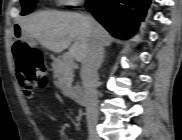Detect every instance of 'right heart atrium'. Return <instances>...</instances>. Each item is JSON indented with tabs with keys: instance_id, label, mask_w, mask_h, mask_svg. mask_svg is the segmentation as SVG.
I'll return each mask as SVG.
<instances>
[{
	"instance_id": "1",
	"label": "right heart atrium",
	"mask_w": 182,
	"mask_h": 140,
	"mask_svg": "<svg viewBox=\"0 0 182 140\" xmlns=\"http://www.w3.org/2000/svg\"><path fill=\"white\" fill-rule=\"evenodd\" d=\"M61 2L66 5H79L82 3L81 0H61Z\"/></svg>"
}]
</instances>
